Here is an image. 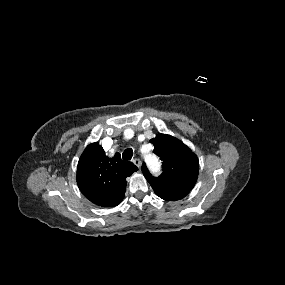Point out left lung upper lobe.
<instances>
[{"label": "left lung upper lobe", "instance_id": "1", "mask_svg": "<svg viewBox=\"0 0 285 285\" xmlns=\"http://www.w3.org/2000/svg\"><path fill=\"white\" fill-rule=\"evenodd\" d=\"M150 142L154 145V153L163 161V173L159 177H153L143 163L142 172L152 188L189 193L197 181V156L171 135L158 134Z\"/></svg>", "mask_w": 285, "mask_h": 285}]
</instances>
